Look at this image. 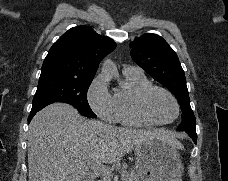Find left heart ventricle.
Returning a JSON list of instances; mask_svg holds the SVG:
<instances>
[{"instance_id":"1","label":"left heart ventricle","mask_w":228,"mask_h":181,"mask_svg":"<svg viewBox=\"0 0 228 181\" xmlns=\"http://www.w3.org/2000/svg\"><path fill=\"white\" fill-rule=\"evenodd\" d=\"M147 109L155 115L167 119L173 115V107L169 98L161 92H156L149 99Z\"/></svg>"}]
</instances>
